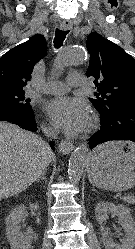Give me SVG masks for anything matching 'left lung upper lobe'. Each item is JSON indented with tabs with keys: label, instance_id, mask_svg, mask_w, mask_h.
I'll return each mask as SVG.
<instances>
[{
	"label": "left lung upper lobe",
	"instance_id": "1",
	"mask_svg": "<svg viewBox=\"0 0 135 249\" xmlns=\"http://www.w3.org/2000/svg\"><path fill=\"white\" fill-rule=\"evenodd\" d=\"M86 44L90 54L86 75L95 78L98 91L89 100L99 113L118 105H135V59L96 32L89 34Z\"/></svg>",
	"mask_w": 135,
	"mask_h": 249
}]
</instances>
